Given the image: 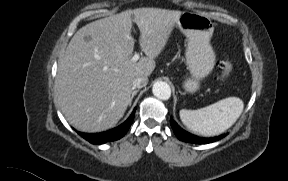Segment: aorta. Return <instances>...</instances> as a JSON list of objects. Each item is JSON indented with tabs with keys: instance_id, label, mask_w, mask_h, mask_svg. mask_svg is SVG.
<instances>
[{
	"instance_id": "762f6f07",
	"label": "aorta",
	"mask_w": 288,
	"mask_h": 181,
	"mask_svg": "<svg viewBox=\"0 0 288 181\" xmlns=\"http://www.w3.org/2000/svg\"><path fill=\"white\" fill-rule=\"evenodd\" d=\"M152 92L155 97L161 100H168L171 96V88L170 86L163 81H158L154 83L152 87Z\"/></svg>"
}]
</instances>
